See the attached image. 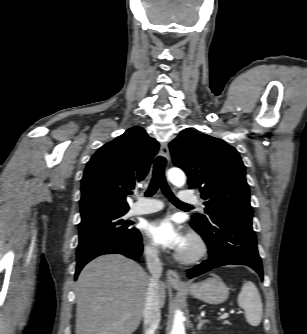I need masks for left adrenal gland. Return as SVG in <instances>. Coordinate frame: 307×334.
<instances>
[{"mask_svg": "<svg viewBox=\"0 0 307 334\" xmlns=\"http://www.w3.org/2000/svg\"><path fill=\"white\" fill-rule=\"evenodd\" d=\"M198 325L197 329L200 330L205 323H208V320L202 319L200 316L197 317Z\"/></svg>", "mask_w": 307, "mask_h": 334, "instance_id": "1", "label": "left adrenal gland"}]
</instances>
